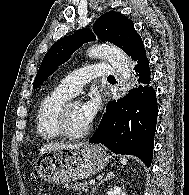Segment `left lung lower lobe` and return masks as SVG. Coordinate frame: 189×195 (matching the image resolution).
Here are the masks:
<instances>
[{"mask_svg":"<svg viewBox=\"0 0 189 195\" xmlns=\"http://www.w3.org/2000/svg\"><path fill=\"white\" fill-rule=\"evenodd\" d=\"M134 71L138 84L123 99L108 103L98 130L89 142L103 144L116 154L135 155L149 167L158 106L148 58L137 61Z\"/></svg>","mask_w":189,"mask_h":195,"instance_id":"0a47b994","label":"left lung lower lobe"}]
</instances>
